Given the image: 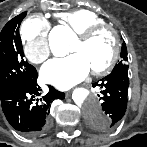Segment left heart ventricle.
<instances>
[{
  "instance_id": "1",
  "label": "left heart ventricle",
  "mask_w": 147,
  "mask_h": 147,
  "mask_svg": "<svg viewBox=\"0 0 147 147\" xmlns=\"http://www.w3.org/2000/svg\"><path fill=\"white\" fill-rule=\"evenodd\" d=\"M113 51L112 35L108 32L98 34L90 43L83 44L77 39L71 52L81 54L91 70L99 69L110 59Z\"/></svg>"
}]
</instances>
